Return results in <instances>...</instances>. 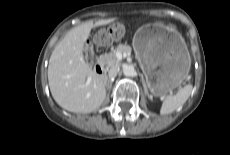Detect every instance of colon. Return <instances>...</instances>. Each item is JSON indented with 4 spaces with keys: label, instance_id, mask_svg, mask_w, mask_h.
<instances>
[{
    "label": "colon",
    "instance_id": "5ec220e1",
    "mask_svg": "<svg viewBox=\"0 0 230 155\" xmlns=\"http://www.w3.org/2000/svg\"><path fill=\"white\" fill-rule=\"evenodd\" d=\"M124 26L121 23H114L110 27L100 30L95 35V42L99 46H106L110 44L114 39H120L123 36ZM85 43H90V38H85ZM88 63H92L94 60L93 52L90 48L85 52Z\"/></svg>",
    "mask_w": 230,
    "mask_h": 155
}]
</instances>
